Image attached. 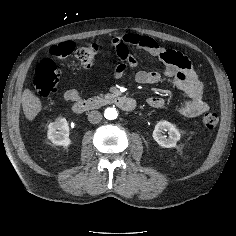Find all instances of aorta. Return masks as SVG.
Returning a JSON list of instances; mask_svg holds the SVG:
<instances>
[{"label": "aorta", "instance_id": "aorta-1", "mask_svg": "<svg viewBox=\"0 0 236 236\" xmlns=\"http://www.w3.org/2000/svg\"><path fill=\"white\" fill-rule=\"evenodd\" d=\"M104 116L106 119H109V120H114L117 118L118 116V113H117V110L113 107H110V108H107L104 112Z\"/></svg>", "mask_w": 236, "mask_h": 236}]
</instances>
